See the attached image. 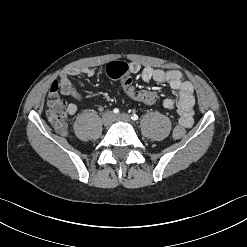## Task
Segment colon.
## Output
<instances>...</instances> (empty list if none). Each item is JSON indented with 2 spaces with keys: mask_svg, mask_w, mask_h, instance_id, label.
<instances>
[{
  "mask_svg": "<svg viewBox=\"0 0 247 247\" xmlns=\"http://www.w3.org/2000/svg\"><path fill=\"white\" fill-rule=\"evenodd\" d=\"M106 73L110 78L120 80L126 95L134 101L141 102L144 106H154L157 103L158 95L154 91L137 90L132 84V75L129 73L128 65L123 62H111L106 66ZM48 119L52 125L60 132L67 130V107L59 96V92L50 89L47 98ZM185 128L177 125L172 133L174 139L179 140L185 135Z\"/></svg>",
  "mask_w": 247,
  "mask_h": 247,
  "instance_id": "1",
  "label": "colon"
}]
</instances>
